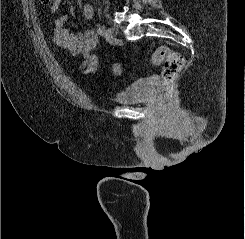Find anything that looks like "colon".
Here are the masks:
<instances>
[{
  "instance_id": "1",
  "label": "colon",
  "mask_w": 245,
  "mask_h": 239,
  "mask_svg": "<svg viewBox=\"0 0 245 239\" xmlns=\"http://www.w3.org/2000/svg\"><path fill=\"white\" fill-rule=\"evenodd\" d=\"M39 1L45 5H49L52 2V0ZM151 60L155 65L161 66L162 93L166 100H170L173 96L175 82L184 68L185 59L180 53L162 45L153 51ZM113 71L116 75H121L122 67L119 64H115Z\"/></svg>"
}]
</instances>
